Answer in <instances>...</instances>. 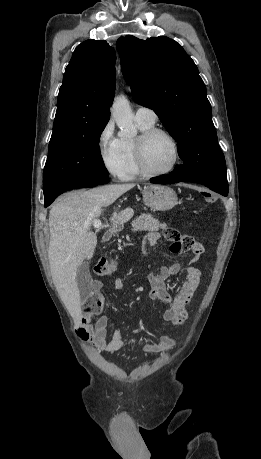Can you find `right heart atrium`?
Masks as SVG:
<instances>
[{
  "mask_svg": "<svg viewBox=\"0 0 261 459\" xmlns=\"http://www.w3.org/2000/svg\"><path fill=\"white\" fill-rule=\"evenodd\" d=\"M97 149L104 168L113 176L120 177L124 160L120 149V138L116 136L114 123L108 121L97 137Z\"/></svg>",
  "mask_w": 261,
  "mask_h": 459,
  "instance_id": "d8ad5b80",
  "label": "right heart atrium"
}]
</instances>
